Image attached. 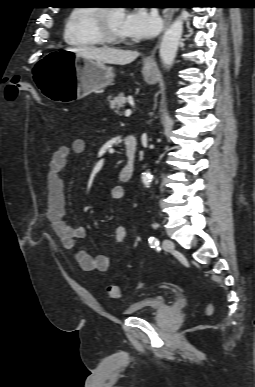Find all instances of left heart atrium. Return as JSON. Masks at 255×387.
Returning <instances> with one entry per match:
<instances>
[{"mask_svg":"<svg viewBox=\"0 0 255 387\" xmlns=\"http://www.w3.org/2000/svg\"><path fill=\"white\" fill-rule=\"evenodd\" d=\"M161 25L156 12L139 8L125 15L123 31L127 37L151 38L160 31Z\"/></svg>","mask_w":255,"mask_h":387,"instance_id":"left-heart-atrium-1","label":"left heart atrium"}]
</instances>
